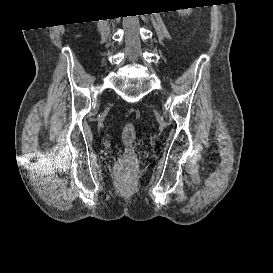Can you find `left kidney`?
I'll return each mask as SVG.
<instances>
[{"label":"left kidney","instance_id":"1","mask_svg":"<svg viewBox=\"0 0 273 273\" xmlns=\"http://www.w3.org/2000/svg\"><path fill=\"white\" fill-rule=\"evenodd\" d=\"M191 10H192L191 8H189V9H180V10H177V12L181 16H186V15H190Z\"/></svg>","mask_w":273,"mask_h":273}]
</instances>
